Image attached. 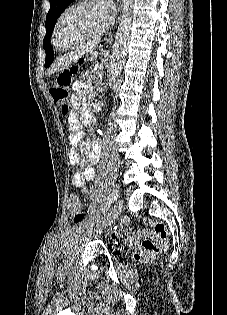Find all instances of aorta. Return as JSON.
Wrapping results in <instances>:
<instances>
[{
  "label": "aorta",
  "mask_w": 227,
  "mask_h": 315,
  "mask_svg": "<svg viewBox=\"0 0 227 315\" xmlns=\"http://www.w3.org/2000/svg\"><path fill=\"white\" fill-rule=\"evenodd\" d=\"M133 1L134 0H122L120 22L116 32L108 70L110 83H114L117 80L127 55L132 24Z\"/></svg>",
  "instance_id": "obj_1"
}]
</instances>
